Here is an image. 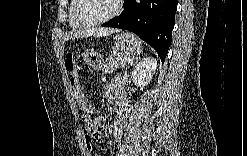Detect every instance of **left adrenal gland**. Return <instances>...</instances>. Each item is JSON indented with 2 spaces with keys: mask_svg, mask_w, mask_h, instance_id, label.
Here are the masks:
<instances>
[{
  "mask_svg": "<svg viewBox=\"0 0 247 156\" xmlns=\"http://www.w3.org/2000/svg\"><path fill=\"white\" fill-rule=\"evenodd\" d=\"M131 65H133V64H131ZM129 67H130V66L126 67V69H125V73H126V70H127Z\"/></svg>",
  "mask_w": 247,
  "mask_h": 156,
  "instance_id": "1",
  "label": "left adrenal gland"
}]
</instances>
